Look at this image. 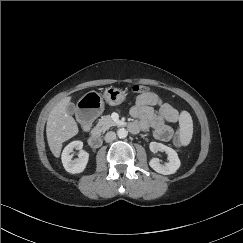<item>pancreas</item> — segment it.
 Segmentation results:
<instances>
[{
  "label": "pancreas",
  "mask_w": 243,
  "mask_h": 243,
  "mask_svg": "<svg viewBox=\"0 0 243 243\" xmlns=\"http://www.w3.org/2000/svg\"><path fill=\"white\" fill-rule=\"evenodd\" d=\"M116 122H114L109 115L103 116L97 123L96 127L94 128L95 131L104 133L110 127L115 126Z\"/></svg>",
  "instance_id": "pancreas-1"
}]
</instances>
